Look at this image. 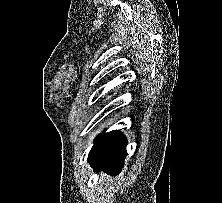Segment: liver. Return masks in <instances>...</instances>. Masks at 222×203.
<instances>
[{
    "mask_svg": "<svg viewBox=\"0 0 222 203\" xmlns=\"http://www.w3.org/2000/svg\"><path fill=\"white\" fill-rule=\"evenodd\" d=\"M101 176H102L104 179H105V178H108L107 174H102Z\"/></svg>",
    "mask_w": 222,
    "mask_h": 203,
    "instance_id": "1",
    "label": "liver"
}]
</instances>
